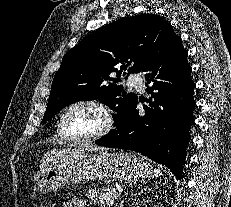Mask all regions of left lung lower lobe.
Segmentation results:
<instances>
[{
    "label": "left lung lower lobe",
    "instance_id": "1",
    "mask_svg": "<svg viewBox=\"0 0 231 207\" xmlns=\"http://www.w3.org/2000/svg\"><path fill=\"white\" fill-rule=\"evenodd\" d=\"M187 56L179 37L164 53L153 58L142 71L146 73L147 92L152 95L147 100L149 107L144 106L145 113H139L137 98L117 128L97 140V144L139 152L165 165L181 179L196 105Z\"/></svg>",
    "mask_w": 231,
    "mask_h": 207
}]
</instances>
